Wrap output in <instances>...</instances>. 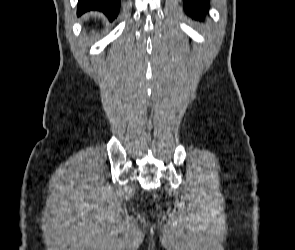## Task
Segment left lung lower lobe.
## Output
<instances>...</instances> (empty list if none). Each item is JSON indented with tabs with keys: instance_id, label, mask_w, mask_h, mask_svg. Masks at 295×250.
<instances>
[{
	"instance_id": "0a47b994",
	"label": "left lung lower lobe",
	"mask_w": 295,
	"mask_h": 250,
	"mask_svg": "<svg viewBox=\"0 0 295 250\" xmlns=\"http://www.w3.org/2000/svg\"><path fill=\"white\" fill-rule=\"evenodd\" d=\"M186 12L194 18H202L209 9V0H184Z\"/></svg>"
}]
</instances>
